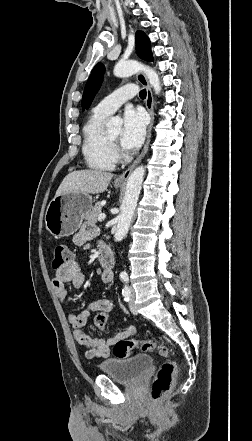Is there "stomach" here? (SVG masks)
I'll return each instance as SVG.
<instances>
[{
	"mask_svg": "<svg viewBox=\"0 0 252 441\" xmlns=\"http://www.w3.org/2000/svg\"><path fill=\"white\" fill-rule=\"evenodd\" d=\"M121 184L116 183L115 187ZM92 197L83 193H65L55 196L49 203L45 224L47 230L56 238L74 234L82 221L93 208Z\"/></svg>",
	"mask_w": 252,
	"mask_h": 441,
	"instance_id": "obj_1",
	"label": "stomach"
}]
</instances>
